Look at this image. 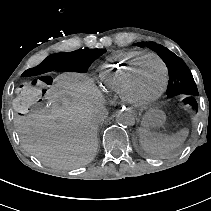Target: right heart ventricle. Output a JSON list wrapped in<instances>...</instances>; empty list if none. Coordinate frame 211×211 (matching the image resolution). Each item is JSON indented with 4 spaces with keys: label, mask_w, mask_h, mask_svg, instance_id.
<instances>
[{
    "label": "right heart ventricle",
    "mask_w": 211,
    "mask_h": 211,
    "mask_svg": "<svg viewBox=\"0 0 211 211\" xmlns=\"http://www.w3.org/2000/svg\"><path fill=\"white\" fill-rule=\"evenodd\" d=\"M147 53L138 50H125L113 55L100 64V78L110 93L123 98L127 78L137 62Z\"/></svg>",
    "instance_id": "1"
}]
</instances>
